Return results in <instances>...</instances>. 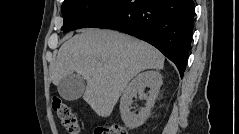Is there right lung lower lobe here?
<instances>
[{
    "mask_svg": "<svg viewBox=\"0 0 239 134\" xmlns=\"http://www.w3.org/2000/svg\"><path fill=\"white\" fill-rule=\"evenodd\" d=\"M193 0H116L83 28L115 29L160 50L178 68H186L193 32Z\"/></svg>",
    "mask_w": 239,
    "mask_h": 134,
    "instance_id": "1",
    "label": "right lung lower lobe"
}]
</instances>
